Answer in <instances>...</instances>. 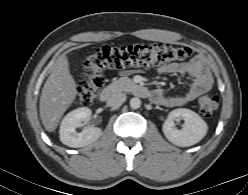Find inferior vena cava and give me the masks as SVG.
I'll return each mask as SVG.
<instances>
[{
	"mask_svg": "<svg viewBox=\"0 0 248 195\" xmlns=\"http://www.w3.org/2000/svg\"><path fill=\"white\" fill-rule=\"evenodd\" d=\"M126 101V95L122 92H114L111 94V96L108 98V105L110 107H116L119 105H122Z\"/></svg>",
	"mask_w": 248,
	"mask_h": 195,
	"instance_id": "602c4592",
	"label": "inferior vena cava"
}]
</instances>
